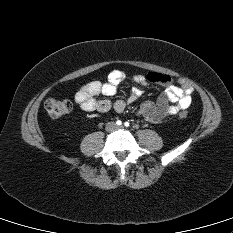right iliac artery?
<instances>
[{"instance_id": "82829eb1", "label": "right iliac artery", "mask_w": 233, "mask_h": 233, "mask_svg": "<svg viewBox=\"0 0 233 233\" xmlns=\"http://www.w3.org/2000/svg\"><path fill=\"white\" fill-rule=\"evenodd\" d=\"M116 124L120 126L122 124V121L121 120H117Z\"/></svg>"}]
</instances>
